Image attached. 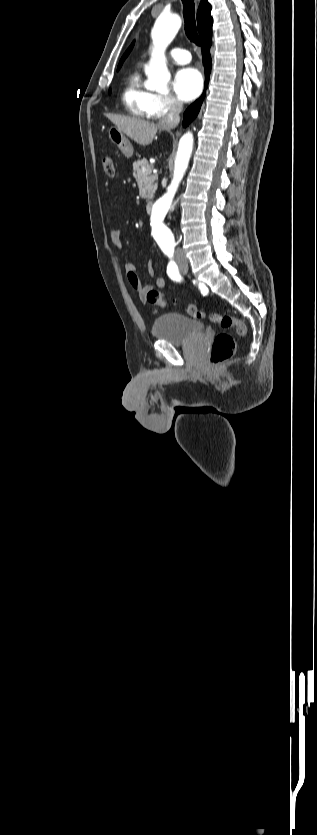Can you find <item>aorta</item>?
<instances>
[{
	"label": "aorta",
	"mask_w": 317,
	"mask_h": 835,
	"mask_svg": "<svg viewBox=\"0 0 317 835\" xmlns=\"http://www.w3.org/2000/svg\"><path fill=\"white\" fill-rule=\"evenodd\" d=\"M180 26V16L175 12L160 14L156 18L151 32L153 43L151 59L149 64L145 67L147 80L144 85L147 89L155 90L157 92L167 91L171 74L167 68L165 50L175 38ZM192 149L193 134L191 132H187L179 141L178 151L174 162L173 179L169 190L155 203L151 215V220L154 224L155 236L166 238L170 242L173 241V234L166 224L165 217L169 211L178 185L187 170Z\"/></svg>",
	"instance_id": "1"
}]
</instances>
